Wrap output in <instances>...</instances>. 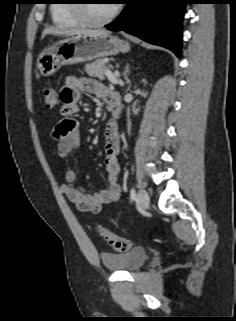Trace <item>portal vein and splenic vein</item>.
I'll return each mask as SVG.
<instances>
[{"label": "portal vein and splenic vein", "instance_id": "portal-vein-and-splenic-vein-1", "mask_svg": "<svg viewBox=\"0 0 236 321\" xmlns=\"http://www.w3.org/2000/svg\"><path fill=\"white\" fill-rule=\"evenodd\" d=\"M105 75L111 83H113V84L119 83L118 78H117V73H112L110 70H106Z\"/></svg>", "mask_w": 236, "mask_h": 321}]
</instances>
